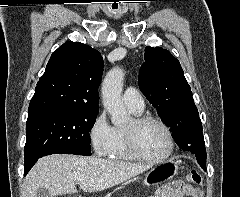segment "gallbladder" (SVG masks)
Segmentation results:
<instances>
[{
    "label": "gallbladder",
    "mask_w": 240,
    "mask_h": 197,
    "mask_svg": "<svg viewBox=\"0 0 240 197\" xmlns=\"http://www.w3.org/2000/svg\"><path fill=\"white\" fill-rule=\"evenodd\" d=\"M37 197H52L50 192L45 188H40L37 191Z\"/></svg>",
    "instance_id": "bac80fb5"
}]
</instances>
